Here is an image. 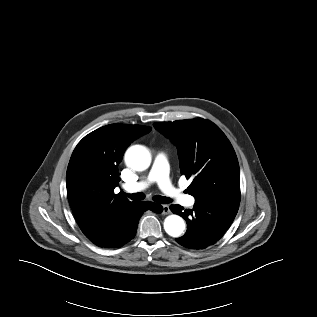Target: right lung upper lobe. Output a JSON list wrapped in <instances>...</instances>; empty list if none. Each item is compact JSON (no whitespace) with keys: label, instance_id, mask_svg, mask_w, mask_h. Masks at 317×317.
<instances>
[{"label":"right lung upper lobe","instance_id":"right-lung-upper-lobe-1","mask_svg":"<svg viewBox=\"0 0 317 317\" xmlns=\"http://www.w3.org/2000/svg\"><path fill=\"white\" fill-rule=\"evenodd\" d=\"M150 130L146 126L110 124L78 143L66 179L68 200L75 217L94 209L111 216L133 203L122 193L114 194L120 181L118 164L129 144Z\"/></svg>","mask_w":317,"mask_h":317}]
</instances>
